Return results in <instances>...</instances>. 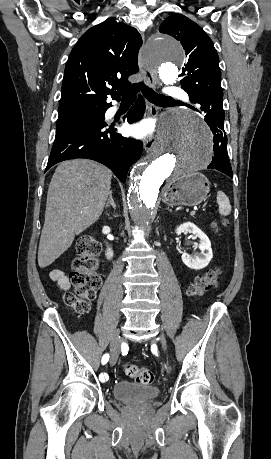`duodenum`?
<instances>
[{"label": "duodenum", "instance_id": "1", "mask_svg": "<svg viewBox=\"0 0 271 459\" xmlns=\"http://www.w3.org/2000/svg\"><path fill=\"white\" fill-rule=\"evenodd\" d=\"M105 245H106V257L109 261H111L114 258L113 247L109 243H105Z\"/></svg>", "mask_w": 271, "mask_h": 459}]
</instances>
